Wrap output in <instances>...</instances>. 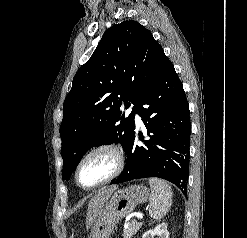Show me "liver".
I'll return each mask as SVG.
<instances>
[{"label": "liver", "instance_id": "liver-1", "mask_svg": "<svg viewBox=\"0 0 247 238\" xmlns=\"http://www.w3.org/2000/svg\"><path fill=\"white\" fill-rule=\"evenodd\" d=\"M116 186L100 191L88 204L87 226L89 227L103 210L104 204L116 190Z\"/></svg>", "mask_w": 247, "mask_h": 238}]
</instances>
